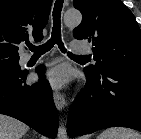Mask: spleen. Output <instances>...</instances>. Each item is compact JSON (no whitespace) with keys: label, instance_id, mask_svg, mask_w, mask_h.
Returning <instances> with one entry per match:
<instances>
[{"label":"spleen","instance_id":"3e777b00","mask_svg":"<svg viewBox=\"0 0 141 139\" xmlns=\"http://www.w3.org/2000/svg\"><path fill=\"white\" fill-rule=\"evenodd\" d=\"M98 139H141V134L128 128H108Z\"/></svg>","mask_w":141,"mask_h":139}]
</instances>
